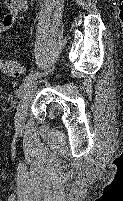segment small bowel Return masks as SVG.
<instances>
[{"instance_id":"1","label":"small bowel","mask_w":123,"mask_h":201,"mask_svg":"<svg viewBox=\"0 0 123 201\" xmlns=\"http://www.w3.org/2000/svg\"><path fill=\"white\" fill-rule=\"evenodd\" d=\"M5 13L0 20V33L8 30L17 19V15L27 9V0H4Z\"/></svg>"}]
</instances>
